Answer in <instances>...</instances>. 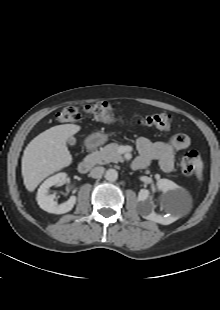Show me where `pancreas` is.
I'll return each instance as SVG.
<instances>
[{"instance_id":"1","label":"pancreas","mask_w":220,"mask_h":310,"mask_svg":"<svg viewBox=\"0 0 220 310\" xmlns=\"http://www.w3.org/2000/svg\"><path fill=\"white\" fill-rule=\"evenodd\" d=\"M119 145L117 143H110L99 151L91 153L88 157L93 159L96 164H108L110 162H122L123 158L121 154L118 153Z\"/></svg>"}]
</instances>
